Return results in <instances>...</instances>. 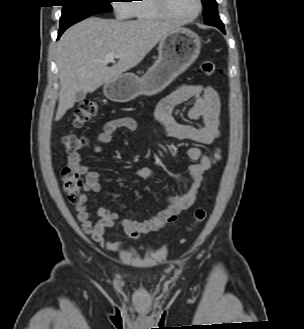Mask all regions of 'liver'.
I'll list each match as a JSON object with an SVG mask.
<instances>
[{
	"label": "liver",
	"mask_w": 304,
	"mask_h": 329,
	"mask_svg": "<svg viewBox=\"0 0 304 329\" xmlns=\"http://www.w3.org/2000/svg\"><path fill=\"white\" fill-rule=\"evenodd\" d=\"M178 26L171 22L88 18L67 29L57 45L60 78L59 121L74 106L78 91L94 92L137 66L164 37ZM119 55L118 63L108 67V54Z\"/></svg>",
	"instance_id": "1"
}]
</instances>
